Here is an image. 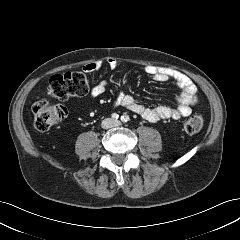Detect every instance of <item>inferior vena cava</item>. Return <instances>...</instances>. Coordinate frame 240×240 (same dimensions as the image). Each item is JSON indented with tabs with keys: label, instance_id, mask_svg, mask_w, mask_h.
Segmentation results:
<instances>
[{
	"label": "inferior vena cava",
	"instance_id": "1",
	"mask_svg": "<svg viewBox=\"0 0 240 240\" xmlns=\"http://www.w3.org/2000/svg\"><path fill=\"white\" fill-rule=\"evenodd\" d=\"M112 126H113V124H112L111 119L107 118V119L103 120V122H102V127L103 128H110Z\"/></svg>",
	"mask_w": 240,
	"mask_h": 240
}]
</instances>
